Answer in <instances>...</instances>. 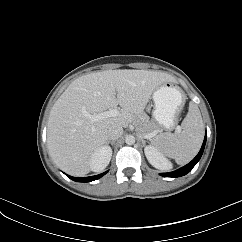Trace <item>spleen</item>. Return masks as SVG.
<instances>
[{"instance_id": "3e777b00", "label": "spleen", "mask_w": 242, "mask_h": 242, "mask_svg": "<svg viewBox=\"0 0 242 242\" xmlns=\"http://www.w3.org/2000/svg\"><path fill=\"white\" fill-rule=\"evenodd\" d=\"M182 129L180 132L160 134L152 141L155 148L179 165L188 163L196 156L204 137L201 113L193 102L189 103V111L182 122Z\"/></svg>"}]
</instances>
